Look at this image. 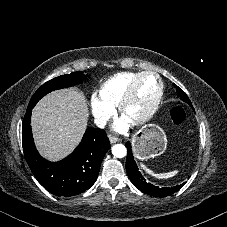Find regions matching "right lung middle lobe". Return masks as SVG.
I'll return each instance as SVG.
<instances>
[{"mask_svg": "<svg viewBox=\"0 0 227 227\" xmlns=\"http://www.w3.org/2000/svg\"><path fill=\"white\" fill-rule=\"evenodd\" d=\"M87 75H84L82 72H73L68 75H62L56 77L46 83H44L32 96L28 107H34L36 103L46 94L51 91L62 89L65 87L74 86L81 84Z\"/></svg>", "mask_w": 227, "mask_h": 227, "instance_id": "1", "label": "right lung middle lobe"}]
</instances>
